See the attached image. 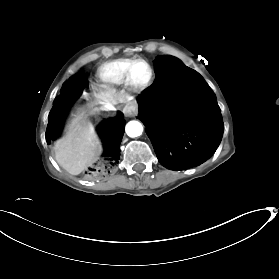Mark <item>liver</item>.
I'll list each match as a JSON object with an SVG mask.
<instances>
[{"label":"liver","instance_id":"liver-1","mask_svg":"<svg viewBox=\"0 0 279 279\" xmlns=\"http://www.w3.org/2000/svg\"><path fill=\"white\" fill-rule=\"evenodd\" d=\"M96 98L112 104L130 101L128 94L119 93L106 87L96 94ZM55 159L58 164L72 175H78L91 166L102 152L100 141L93 125L86 120L81 109L72 113L66 126L65 135L54 144Z\"/></svg>","mask_w":279,"mask_h":279}]
</instances>
